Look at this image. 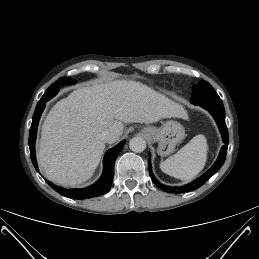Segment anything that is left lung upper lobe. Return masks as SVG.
Wrapping results in <instances>:
<instances>
[{
    "label": "left lung upper lobe",
    "mask_w": 259,
    "mask_h": 259,
    "mask_svg": "<svg viewBox=\"0 0 259 259\" xmlns=\"http://www.w3.org/2000/svg\"><path fill=\"white\" fill-rule=\"evenodd\" d=\"M191 102L194 104L212 103L221 102V99L208 82L201 81L193 88Z\"/></svg>",
    "instance_id": "5c2ea615"
}]
</instances>
